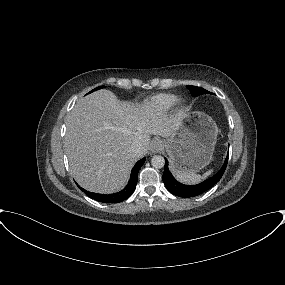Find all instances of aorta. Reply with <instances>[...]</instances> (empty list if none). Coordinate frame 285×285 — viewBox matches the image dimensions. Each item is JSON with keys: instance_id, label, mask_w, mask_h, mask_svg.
I'll return each mask as SVG.
<instances>
[{"instance_id": "762f6f07", "label": "aorta", "mask_w": 285, "mask_h": 285, "mask_svg": "<svg viewBox=\"0 0 285 285\" xmlns=\"http://www.w3.org/2000/svg\"><path fill=\"white\" fill-rule=\"evenodd\" d=\"M151 164L154 168H163L165 165V160L162 156L160 155H155L153 156V158L151 159Z\"/></svg>"}]
</instances>
